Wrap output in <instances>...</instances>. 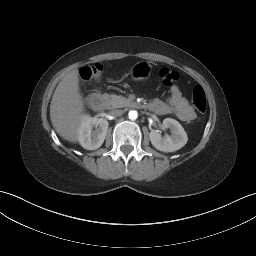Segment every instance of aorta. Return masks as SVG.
I'll use <instances>...</instances> for the list:
<instances>
[{
    "label": "aorta",
    "instance_id": "1",
    "mask_svg": "<svg viewBox=\"0 0 256 256\" xmlns=\"http://www.w3.org/2000/svg\"><path fill=\"white\" fill-rule=\"evenodd\" d=\"M129 119L136 120L138 117V112L136 110H131L128 113Z\"/></svg>",
    "mask_w": 256,
    "mask_h": 256
}]
</instances>
